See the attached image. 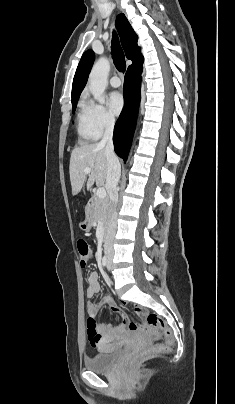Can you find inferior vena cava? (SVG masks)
Here are the masks:
<instances>
[{
	"label": "inferior vena cava",
	"instance_id": "inferior-vena-cava-1",
	"mask_svg": "<svg viewBox=\"0 0 235 404\" xmlns=\"http://www.w3.org/2000/svg\"><path fill=\"white\" fill-rule=\"evenodd\" d=\"M115 120L112 117H108L105 121V133L100 144L105 146L106 159H107V177H106V189L109 194V198L114 205V210L111 214L107 234L104 240V252L106 254H113V241L117 228V212L116 206L118 203V191L117 185L121 175V166L118 158L114 153L113 146V129Z\"/></svg>",
	"mask_w": 235,
	"mask_h": 404
}]
</instances>
